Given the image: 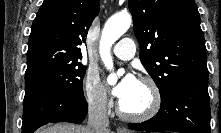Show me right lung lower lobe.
<instances>
[{
	"label": "right lung lower lobe",
	"mask_w": 221,
	"mask_h": 133,
	"mask_svg": "<svg viewBox=\"0 0 221 133\" xmlns=\"http://www.w3.org/2000/svg\"><path fill=\"white\" fill-rule=\"evenodd\" d=\"M86 114L84 95H72L32 80L25 82L23 133H33L50 122L79 124Z\"/></svg>",
	"instance_id": "1"
}]
</instances>
